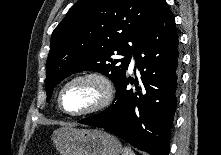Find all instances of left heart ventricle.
<instances>
[{
    "label": "left heart ventricle",
    "instance_id": "1",
    "mask_svg": "<svg viewBox=\"0 0 221 155\" xmlns=\"http://www.w3.org/2000/svg\"><path fill=\"white\" fill-rule=\"evenodd\" d=\"M99 97V89L92 82H78L69 86L62 97L63 106L71 112L91 107Z\"/></svg>",
    "mask_w": 221,
    "mask_h": 155
}]
</instances>
